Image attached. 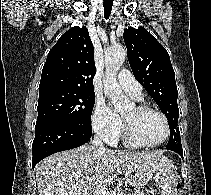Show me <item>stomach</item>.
<instances>
[{
    "label": "stomach",
    "instance_id": "stomach-1",
    "mask_svg": "<svg viewBox=\"0 0 211 195\" xmlns=\"http://www.w3.org/2000/svg\"><path fill=\"white\" fill-rule=\"evenodd\" d=\"M151 173L155 183L162 189L161 195H169V190L177 182L178 176L174 166L169 160L163 158L156 161L155 166L148 172L136 171L129 175V182L138 188L142 186L144 182L149 180L148 174Z\"/></svg>",
    "mask_w": 211,
    "mask_h": 195
}]
</instances>
